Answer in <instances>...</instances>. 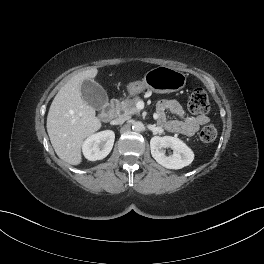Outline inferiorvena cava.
I'll use <instances>...</instances> for the list:
<instances>
[{
	"label": "inferior vena cava",
	"instance_id": "1",
	"mask_svg": "<svg viewBox=\"0 0 264 264\" xmlns=\"http://www.w3.org/2000/svg\"><path fill=\"white\" fill-rule=\"evenodd\" d=\"M126 120H127V117L126 116H120L117 119L112 120L111 121V124H113V125H120V124H123Z\"/></svg>",
	"mask_w": 264,
	"mask_h": 264
}]
</instances>
